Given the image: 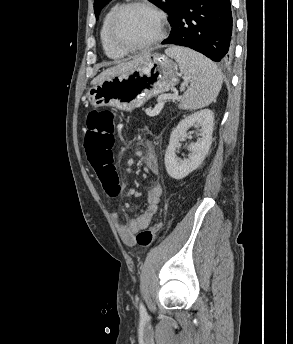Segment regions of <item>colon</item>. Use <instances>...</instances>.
<instances>
[{"instance_id":"obj_1","label":"colon","mask_w":293,"mask_h":344,"mask_svg":"<svg viewBox=\"0 0 293 344\" xmlns=\"http://www.w3.org/2000/svg\"><path fill=\"white\" fill-rule=\"evenodd\" d=\"M117 116L113 110H92L86 117L87 132L84 138L86 155L95 169L105 192L110 197L119 194L121 188L118 179L110 181L103 173L113 163V146L115 143V125ZM161 223L157 222L148 229L141 230L136 236L140 248H148L154 242Z\"/></svg>"}]
</instances>
